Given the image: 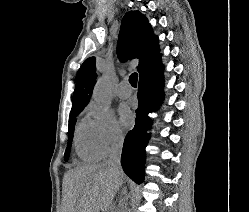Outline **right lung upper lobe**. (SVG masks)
Returning <instances> with one entry per match:
<instances>
[{"label":"right lung upper lobe","mask_w":249,"mask_h":212,"mask_svg":"<svg viewBox=\"0 0 249 212\" xmlns=\"http://www.w3.org/2000/svg\"><path fill=\"white\" fill-rule=\"evenodd\" d=\"M117 49L121 61L139 58V74L161 57L158 37L153 34L147 18L139 11L128 12L123 17ZM96 78L95 58L90 57L84 61L77 73L72 110L84 109L88 104Z\"/></svg>","instance_id":"cb5924a9"}]
</instances>
